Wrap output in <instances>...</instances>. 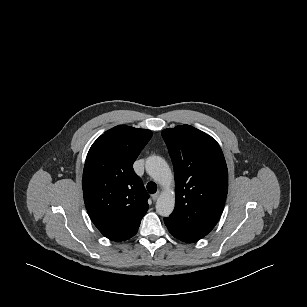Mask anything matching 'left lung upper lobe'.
<instances>
[{
	"label": "left lung upper lobe",
	"instance_id": "5c2ea615",
	"mask_svg": "<svg viewBox=\"0 0 307 307\" xmlns=\"http://www.w3.org/2000/svg\"><path fill=\"white\" fill-rule=\"evenodd\" d=\"M174 165L176 202L167 218L196 238L218 222L228 191V171L215 139L189 125L162 131Z\"/></svg>",
	"mask_w": 307,
	"mask_h": 307
}]
</instances>
